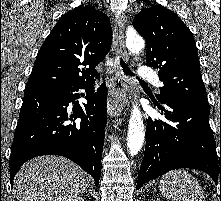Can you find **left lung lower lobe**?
I'll return each instance as SVG.
<instances>
[{
    "label": "left lung lower lobe",
    "mask_w": 221,
    "mask_h": 201,
    "mask_svg": "<svg viewBox=\"0 0 221 201\" xmlns=\"http://www.w3.org/2000/svg\"><path fill=\"white\" fill-rule=\"evenodd\" d=\"M159 102L166 105L165 109L155 103L168 122L148 121L137 190L147 181L178 168L202 170L215 183L220 176L221 184V151L219 157L209 125V103L193 99Z\"/></svg>",
    "instance_id": "0a47b994"
}]
</instances>
